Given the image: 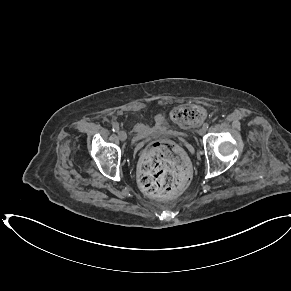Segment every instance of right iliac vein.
I'll use <instances>...</instances> for the list:
<instances>
[{
    "mask_svg": "<svg viewBox=\"0 0 291 291\" xmlns=\"http://www.w3.org/2000/svg\"><path fill=\"white\" fill-rule=\"evenodd\" d=\"M118 137L122 142H124L127 139V134L124 130H120L118 132Z\"/></svg>",
    "mask_w": 291,
    "mask_h": 291,
    "instance_id": "63e3f726",
    "label": "right iliac vein"
}]
</instances>
